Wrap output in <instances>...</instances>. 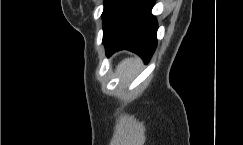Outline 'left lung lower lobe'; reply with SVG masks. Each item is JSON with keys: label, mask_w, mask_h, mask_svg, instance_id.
Returning <instances> with one entry per match:
<instances>
[{"label": "left lung lower lobe", "mask_w": 243, "mask_h": 145, "mask_svg": "<svg viewBox=\"0 0 243 145\" xmlns=\"http://www.w3.org/2000/svg\"><path fill=\"white\" fill-rule=\"evenodd\" d=\"M155 0H129L103 35L107 56L122 49L138 54L145 62L157 45V21L151 14Z\"/></svg>", "instance_id": "obj_1"}]
</instances>
